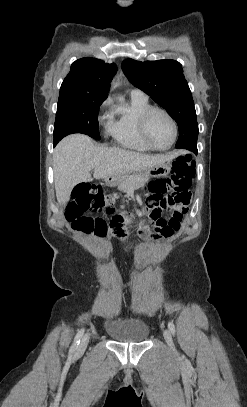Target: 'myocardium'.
I'll return each mask as SVG.
<instances>
[{
    "mask_svg": "<svg viewBox=\"0 0 247 407\" xmlns=\"http://www.w3.org/2000/svg\"><path fill=\"white\" fill-rule=\"evenodd\" d=\"M154 113H161V114L165 115L170 120V122L173 126V138H172L171 143L167 147L160 148V147L155 146L151 142V140L148 136V132H147L148 121ZM138 130H139V134H140V137L143 140V142L150 149L155 150V151H167V150L171 149L172 146L175 144L177 137H178V125H177L176 120L167 110H165L163 108H159V107H150L149 109H147L145 112H143L141 114L139 121H138Z\"/></svg>",
    "mask_w": 247,
    "mask_h": 407,
    "instance_id": "obj_1",
    "label": "myocardium"
}]
</instances>
